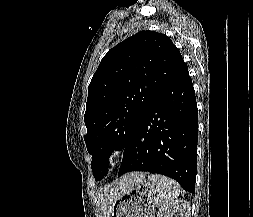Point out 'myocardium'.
Instances as JSON below:
<instances>
[{
    "label": "myocardium",
    "instance_id": "f54148a6",
    "mask_svg": "<svg viewBox=\"0 0 253 217\" xmlns=\"http://www.w3.org/2000/svg\"><path fill=\"white\" fill-rule=\"evenodd\" d=\"M120 153H121L120 146H114L106 155L105 164L109 167L114 165L117 162Z\"/></svg>",
    "mask_w": 253,
    "mask_h": 217
}]
</instances>
